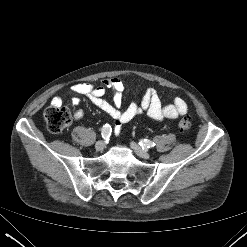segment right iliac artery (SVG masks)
Instances as JSON below:
<instances>
[{
    "label": "right iliac artery",
    "instance_id": "82829eb1",
    "mask_svg": "<svg viewBox=\"0 0 247 247\" xmlns=\"http://www.w3.org/2000/svg\"><path fill=\"white\" fill-rule=\"evenodd\" d=\"M111 131H112V128L109 124L103 125L102 133H101L102 137L104 139H108L111 135Z\"/></svg>",
    "mask_w": 247,
    "mask_h": 247
}]
</instances>
